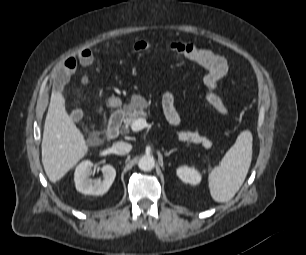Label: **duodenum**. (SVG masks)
Here are the masks:
<instances>
[{
  "label": "duodenum",
  "mask_w": 306,
  "mask_h": 255,
  "mask_svg": "<svg viewBox=\"0 0 306 255\" xmlns=\"http://www.w3.org/2000/svg\"><path fill=\"white\" fill-rule=\"evenodd\" d=\"M123 114L120 110H115L109 118L107 135L111 139H116L119 136L122 125Z\"/></svg>",
  "instance_id": "410a0bca"
}]
</instances>
